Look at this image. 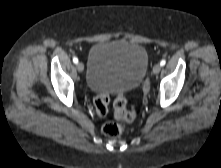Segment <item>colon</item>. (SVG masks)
<instances>
[{
  "instance_id": "5ec220e1",
  "label": "colon",
  "mask_w": 221,
  "mask_h": 168,
  "mask_svg": "<svg viewBox=\"0 0 221 168\" xmlns=\"http://www.w3.org/2000/svg\"><path fill=\"white\" fill-rule=\"evenodd\" d=\"M109 101L110 99L107 94H101L95 98L94 106L97 114L100 116L107 114ZM113 106L115 118L121 123L107 122L103 125L102 131L104 135L110 138L118 137L124 129L123 123L132 121L136 115L134 110L126 108V99L122 93L117 95Z\"/></svg>"
}]
</instances>
